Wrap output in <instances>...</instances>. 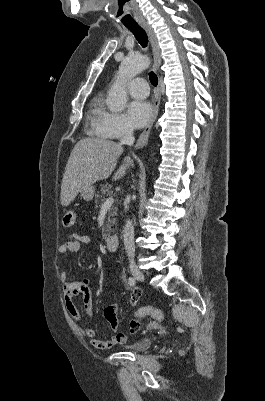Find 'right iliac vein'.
I'll use <instances>...</instances> for the list:
<instances>
[{
  "label": "right iliac vein",
  "instance_id": "right-iliac-vein-1",
  "mask_svg": "<svg viewBox=\"0 0 265 401\" xmlns=\"http://www.w3.org/2000/svg\"><path fill=\"white\" fill-rule=\"evenodd\" d=\"M130 271L134 278L140 282H143L145 280V275L143 272L137 267L135 263L130 264Z\"/></svg>",
  "mask_w": 265,
  "mask_h": 401
}]
</instances>
